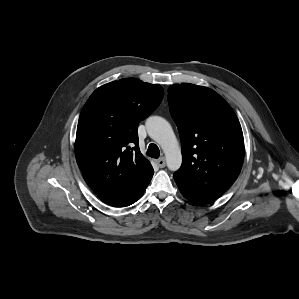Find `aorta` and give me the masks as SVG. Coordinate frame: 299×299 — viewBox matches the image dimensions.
<instances>
[{
	"instance_id": "aorta-1",
	"label": "aorta",
	"mask_w": 299,
	"mask_h": 299,
	"mask_svg": "<svg viewBox=\"0 0 299 299\" xmlns=\"http://www.w3.org/2000/svg\"><path fill=\"white\" fill-rule=\"evenodd\" d=\"M146 128L165 153L169 170H178L182 163L181 148L169 122L160 116H151L146 120Z\"/></svg>"
}]
</instances>
